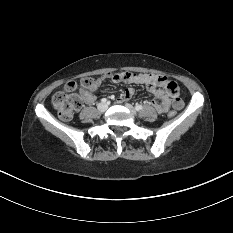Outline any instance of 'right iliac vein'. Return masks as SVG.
<instances>
[{
	"label": "right iliac vein",
	"instance_id": "obj_1",
	"mask_svg": "<svg viewBox=\"0 0 233 233\" xmlns=\"http://www.w3.org/2000/svg\"><path fill=\"white\" fill-rule=\"evenodd\" d=\"M107 108H108V105L106 103H101L98 105V110L100 112H105L107 110Z\"/></svg>",
	"mask_w": 233,
	"mask_h": 233
}]
</instances>
